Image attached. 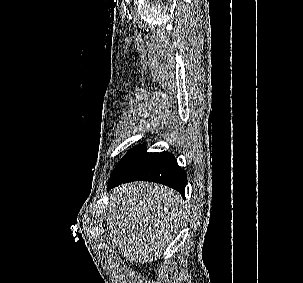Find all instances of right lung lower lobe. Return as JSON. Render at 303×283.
I'll return each instance as SVG.
<instances>
[{"label":"right lung lower lobe","instance_id":"obj_1","mask_svg":"<svg viewBox=\"0 0 303 283\" xmlns=\"http://www.w3.org/2000/svg\"><path fill=\"white\" fill-rule=\"evenodd\" d=\"M137 180L161 183L184 195L187 174L171 153H149L144 145H138L116 165L108 181V189Z\"/></svg>","mask_w":303,"mask_h":283}]
</instances>
